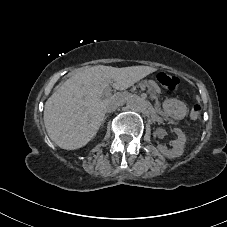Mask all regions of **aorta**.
Masks as SVG:
<instances>
[{
	"mask_svg": "<svg viewBox=\"0 0 227 227\" xmlns=\"http://www.w3.org/2000/svg\"><path fill=\"white\" fill-rule=\"evenodd\" d=\"M129 104L134 111L139 113H145L149 109V103L140 97L133 98Z\"/></svg>",
	"mask_w": 227,
	"mask_h": 227,
	"instance_id": "aorta-1",
	"label": "aorta"
}]
</instances>
